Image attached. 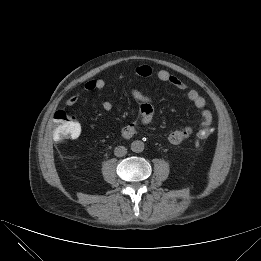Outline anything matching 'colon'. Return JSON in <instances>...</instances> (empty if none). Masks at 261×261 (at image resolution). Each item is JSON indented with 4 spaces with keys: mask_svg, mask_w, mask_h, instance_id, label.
Listing matches in <instances>:
<instances>
[{
    "mask_svg": "<svg viewBox=\"0 0 261 261\" xmlns=\"http://www.w3.org/2000/svg\"><path fill=\"white\" fill-rule=\"evenodd\" d=\"M81 128L75 117L65 111H58L53 119V139L56 142H64L79 136ZM213 133L211 125L203 126L197 133V140L203 141Z\"/></svg>",
    "mask_w": 261,
    "mask_h": 261,
    "instance_id": "1",
    "label": "colon"
}]
</instances>
